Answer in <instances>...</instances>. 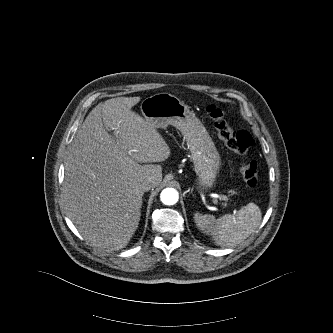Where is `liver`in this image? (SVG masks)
<instances>
[{
    "instance_id": "6515ba94",
    "label": "liver",
    "mask_w": 333,
    "mask_h": 333,
    "mask_svg": "<svg viewBox=\"0 0 333 333\" xmlns=\"http://www.w3.org/2000/svg\"><path fill=\"white\" fill-rule=\"evenodd\" d=\"M140 97L98 104L86 117L65 162L64 209L95 247L127 246L141 216L143 183L157 187L171 152L151 121L131 110ZM108 131H113L112 134Z\"/></svg>"
}]
</instances>
